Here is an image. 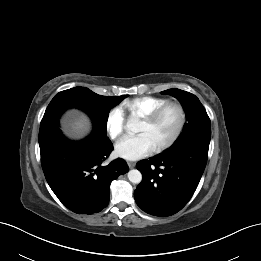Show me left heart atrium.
<instances>
[{
    "mask_svg": "<svg viewBox=\"0 0 261 261\" xmlns=\"http://www.w3.org/2000/svg\"><path fill=\"white\" fill-rule=\"evenodd\" d=\"M153 150L147 136L142 133L128 134L120 138L115 145L117 156L127 160H136L147 156Z\"/></svg>",
    "mask_w": 261,
    "mask_h": 261,
    "instance_id": "left-heart-atrium-1",
    "label": "left heart atrium"
}]
</instances>
